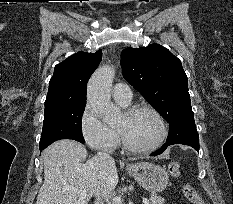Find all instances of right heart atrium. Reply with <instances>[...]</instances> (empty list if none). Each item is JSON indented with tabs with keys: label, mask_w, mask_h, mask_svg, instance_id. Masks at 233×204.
<instances>
[{
	"label": "right heart atrium",
	"mask_w": 233,
	"mask_h": 204,
	"mask_svg": "<svg viewBox=\"0 0 233 204\" xmlns=\"http://www.w3.org/2000/svg\"><path fill=\"white\" fill-rule=\"evenodd\" d=\"M80 131L86 144L94 150H111L117 145V133L100 119L89 103L80 116Z\"/></svg>",
	"instance_id": "d8ad5b80"
}]
</instances>
